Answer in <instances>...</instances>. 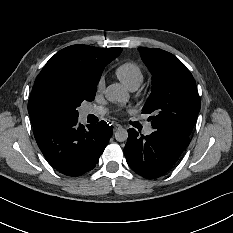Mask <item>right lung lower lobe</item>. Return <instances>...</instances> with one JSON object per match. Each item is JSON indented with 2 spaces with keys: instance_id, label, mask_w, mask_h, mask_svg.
I'll use <instances>...</instances> for the list:
<instances>
[{
  "instance_id": "1",
  "label": "right lung lower lobe",
  "mask_w": 233,
  "mask_h": 233,
  "mask_svg": "<svg viewBox=\"0 0 233 233\" xmlns=\"http://www.w3.org/2000/svg\"><path fill=\"white\" fill-rule=\"evenodd\" d=\"M33 132L43 155L57 171L79 176L96 166L113 131L104 121L85 129L75 119L45 122L33 127Z\"/></svg>"
}]
</instances>
